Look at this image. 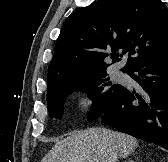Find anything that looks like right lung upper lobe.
Wrapping results in <instances>:
<instances>
[{
  "instance_id": "right-lung-upper-lobe-1",
  "label": "right lung upper lobe",
  "mask_w": 168,
  "mask_h": 162,
  "mask_svg": "<svg viewBox=\"0 0 168 162\" xmlns=\"http://www.w3.org/2000/svg\"><path fill=\"white\" fill-rule=\"evenodd\" d=\"M121 53H128L123 72L168 53V10L160 0H98L72 13L56 42L48 86L106 72V58L115 63Z\"/></svg>"
}]
</instances>
